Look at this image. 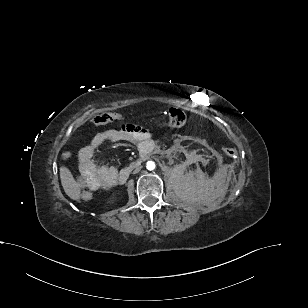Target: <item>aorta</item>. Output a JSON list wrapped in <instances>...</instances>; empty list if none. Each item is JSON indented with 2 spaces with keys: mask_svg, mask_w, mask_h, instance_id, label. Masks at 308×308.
<instances>
[{
  "mask_svg": "<svg viewBox=\"0 0 308 308\" xmlns=\"http://www.w3.org/2000/svg\"><path fill=\"white\" fill-rule=\"evenodd\" d=\"M155 168V163L153 161H148L147 162V169L148 170H154Z\"/></svg>",
  "mask_w": 308,
  "mask_h": 308,
  "instance_id": "1",
  "label": "aorta"
}]
</instances>
